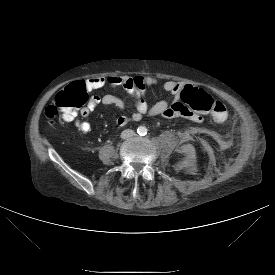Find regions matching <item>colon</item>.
<instances>
[{"instance_id":"obj_1","label":"colon","mask_w":275,"mask_h":275,"mask_svg":"<svg viewBox=\"0 0 275 275\" xmlns=\"http://www.w3.org/2000/svg\"><path fill=\"white\" fill-rule=\"evenodd\" d=\"M180 98L189 111L196 115L210 114L219 123L228 118V108L221 100L213 98L204 90L186 87L180 94ZM88 103L87 93L81 82H75L60 91L54 102L45 109V116L49 120L62 118L72 119L76 113L81 112Z\"/></svg>"}]
</instances>
